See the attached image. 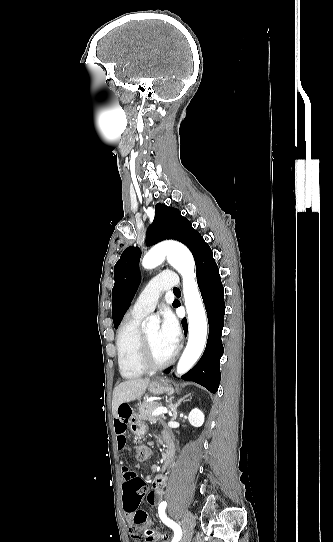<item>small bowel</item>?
Here are the masks:
<instances>
[{
    "mask_svg": "<svg viewBox=\"0 0 333 542\" xmlns=\"http://www.w3.org/2000/svg\"><path fill=\"white\" fill-rule=\"evenodd\" d=\"M130 406H131L130 403L127 401L124 402L123 405H119L117 409L116 417L114 419L116 447H117V450L122 454H124L128 449L127 428L132 418V409ZM166 435L168 434H165L164 437ZM167 447L169 449L168 445ZM121 471H122V477H123V483H124L125 497H130L131 492L126 488V483L129 480L130 473L128 472L125 466H122ZM167 480H168L167 474H158L153 478L152 480L153 489L152 491L149 492L148 497H147L149 504L156 506L161 503L165 494V486H166ZM131 513L132 512L129 510L127 514H125L124 516L125 519L127 520L130 519ZM137 516L138 514L134 513L131 517V520L128 523V531L132 535L133 538H138L139 531L143 529L145 525V524H139L137 522ZM156 533H157V538H158L156 542H159L161 539L165 537V535L161 532L156 531Z\"/></svg>",
    "mask_w": 333,
    "mask_h": 542,
    "instance_id": "1",
    "label": "small bowel"
}]
</instances>
